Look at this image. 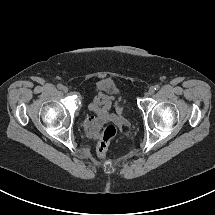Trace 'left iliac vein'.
Masks as SVG:
<instances>
[{"label":"left iliac vein","mask_w":215,"mask_h":215,"mask_svg":"<svg viewBox=\"0 0 215 215\" xmlns=\"http://www.w3.org/2000/svg\"><path fill=\"white\" fill-rule=\"evenodd\" d=\"M154 92H155L154 87H150L148 92H147V95H152Z\"/></svg>","instance_id":"4c4485c4"}]
</instances>
